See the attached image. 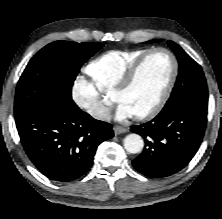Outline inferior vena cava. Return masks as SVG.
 <instances>
[{
	"instance_id": "1",
	"label": "inferior vena cava",
	"mask_w": 222,
	"mask_h": 219,
	"mask_svg": "<svg viewBox=\"0 0 222 219\" xmlns=\"http://www.w3.org/2000/svg\"><path fill=\"white\" fill-rule=\"evenodd\" d=\"M94 116L98 119H101V120H110L111 119V115L108 111H104L102 113L95 111Z\"/></svg>"
}]
</instances>
